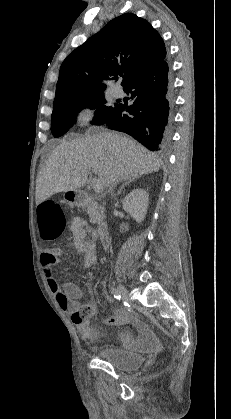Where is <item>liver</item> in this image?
Here are the masks:
<instances>
[{
  "mask_svg": "<svg viewBox=\"0 0 231 419\" xmlns=\"http://www.w3.org/2000/svg\"><path fill=\"white\" fill-rule=\"evenodd\" d=\"M160 158L132 138L109 131L63 142L51 153L36 180V204L52 195L73 191L93 171L106 188L113 183L157 172Z\"/></svg>",
  "mask_w": 231,
  "mask_h": 419,
  "instance_id": "1",
  "label": "liver"
}]
</instances>
